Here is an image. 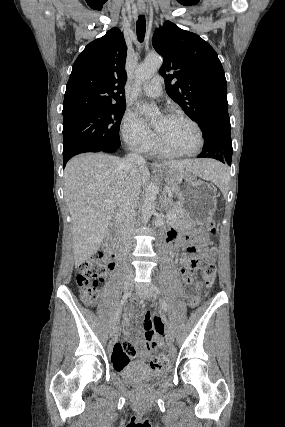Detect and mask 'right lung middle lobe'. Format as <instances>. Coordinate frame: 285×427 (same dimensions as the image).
Wrapping results in <instances>:
<instances>
[{
	"label": "right lung middle lobe",
	"mask_w": 285,
	"mask_h": 427,
	"mask_svg": "<svg viewBox=\"0 0 285 427\" xmlns=\"http://www.w3.org/2000/svg\"><path fill=\"white\" fill-rule=\"evenodd\" d=\"M126 105L83 112L63 121V161L84 152H116Z\"/></svg>",
	"instance_id": "1"
}]
</instances>
